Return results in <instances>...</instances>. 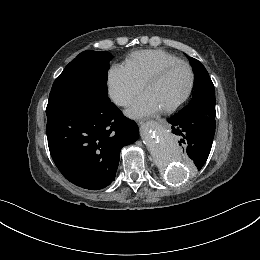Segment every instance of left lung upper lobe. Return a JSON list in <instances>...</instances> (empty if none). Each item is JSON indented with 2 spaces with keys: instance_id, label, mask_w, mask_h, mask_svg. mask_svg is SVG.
<instances>
[{
  "instance_id": "obj_1",
  "label": "left lung upper lobe",
  "mask_w": 260,
  "mask_h": 260,
  "mask_svg": "<svg viewBox=\"0 0 260 260\" xmlns=\"http://www.w3.org/2000/svg\"><path fill=\"white\" fill-rule=\"evenodd\" d=\"M196 74V85L190 103L180 112L192 110H209L215 112V90L211 78L205 67L196 60L190 58Z\"/></svg>"
}]
</instances>
